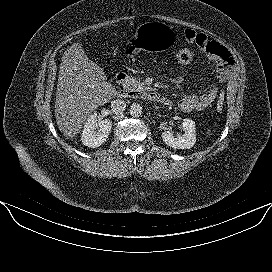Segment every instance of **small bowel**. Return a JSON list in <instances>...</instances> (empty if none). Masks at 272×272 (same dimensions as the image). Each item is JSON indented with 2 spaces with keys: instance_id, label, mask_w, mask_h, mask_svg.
Here are the masks:
<instances>
[{
  "instance_id": "small-bowel-1",
  "label": "small bowel",
  "mask_w": 272,
  "mask_h": 272,
  "mask_svg": "<svg viewBox=\"0 0 272 272\" xmlns=\"http://www.w3.org/2000/svg\"><path fill=\"white\" fill-rule=\"evenodd\" d=\"M185 39L196 44L202 50L211 66L216 72L219 83L227 81L231 73L233 57L229 50L222 44L210 40L205 34L187 29L184 32ZM218 88L213 86L201 95H189L178 101V107L183 112L201 111L209 107L217 98Z\"/></svg>"
}]
</instances>
